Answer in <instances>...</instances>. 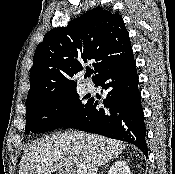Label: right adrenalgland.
Segmentation results:
<instances>
[{
	"label": "right adrenal gland",
	"mask_w": 175,
	"mask_h": 174,
	"mask_svg": "<svg viewBox=\"0 0 175 174\" xmlns=\"http://www.w3.org/2000/svg\"><path fill=\"white\" fill-rule=\"evenodd\" d=\"M107 165H108V163H107V164H105V167H107Z\"/></svg>",
	"instance_id": "1"
}]
</instances>
